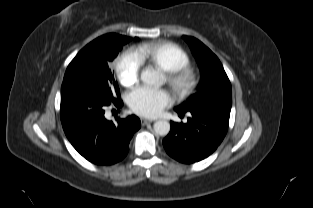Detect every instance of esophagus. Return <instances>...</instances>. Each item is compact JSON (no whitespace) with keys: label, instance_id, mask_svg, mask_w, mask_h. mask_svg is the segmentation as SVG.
Returning <instances> with one entry per match:
<instances>
[{"label":"esophagus","instance_id":"34e87169","mask_svg":"<svg viewBox=\"0 0 313 208\" xmlns=\"http://www.w3.org/2000/svg\"><path fill=\"white\" fill-rule=\"evenodd\" d=\"M154 120H149V119H145V118H141V124L143 125V126H145V125H147V124H149V123H151V122H153Z\"/></svg>","mask_w":313,"mask_h":208}]
</instances>
